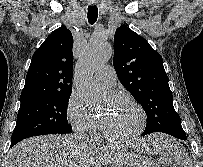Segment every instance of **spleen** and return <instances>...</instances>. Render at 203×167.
Listing matches in <instances>:
<instances>
[{
    "label": "spleen",
    "mask_w": 203,
    "mask_h": 167,
    "mask_svg": "<svg viewBox=\"0 0 203 167\" xmlns=\"http://www.w3.org/2000/svg\"><path fill=\"white\" fill-rule=\"evenodd\" d=\"M148 144L150 153H160L164 156L171 158L175 163L183 167H192V161L190 160L185 149L172 138L164 135L154 136Z\"/></svg>",
    "instance_id": "3e777b00"
}]
</instances>
